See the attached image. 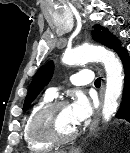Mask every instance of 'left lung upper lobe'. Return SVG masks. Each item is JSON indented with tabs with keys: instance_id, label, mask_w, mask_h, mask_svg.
I'll use <instances>...</instances> for the list:
<instances>
[{
	"instance_id": "obj_1",
	"label": "left lung upper lobe",
	"mask_w": 130,
	"mask_h": 153,
	"mask_svg": "<svg viewBox=\"0 0 130 153\" xmlns=\"http://www.w3.org/2000/svg\"><path fill=\"white\" fill-rule=\"evenodd\" d=\"M92 36L95 41L106 45L108 39L112 35L107 31V29L96 26V29L92 31ZM53 68L54 66L52 62H48L39 68L30 84L29 91L24 102L23 111L28 109L31 102L37 97L44 86L48 84L53 75Z\"/></svg>"
}]
</instances>
